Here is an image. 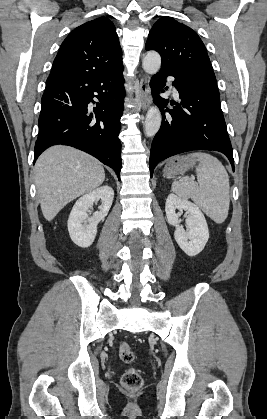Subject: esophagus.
<instances>
[{"label":"esophagus","mask_w":267,"mask_h":419,"mask_svg":"<svg viewBox=\"0 0 267 419\" xmlns=\"http://www.w3.org/2000/svg\"><path fill=\"white\" fill-rule=\"evenodd\" d=\"M149 81V75L144 74L139 84V104L144 110H146L151 104Z\"/></svg>","instance_id":"1"}]
</instances>
